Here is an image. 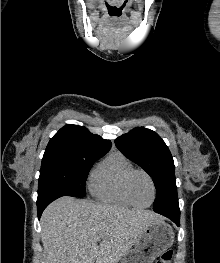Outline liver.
Segmentation results:
<instances>
[{
  "mask_svg": "<svg viewBox=\"0 0 220 263\" xmlns=\"http://www.w3.org/2000/svg\"><path fill=\"white\" fill-rule=\"evenodd\" d=\"M161 219L150 210L61 197L41 217L43 263H118L140 233Z\"/></svg>",
  "mask_w": 220,
  "mask_h": 263,
  "instance_id": "obj_1",
  "label": "liver"
}]
</instances>
